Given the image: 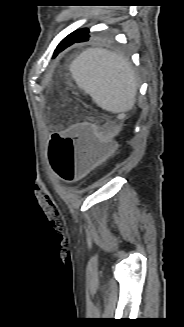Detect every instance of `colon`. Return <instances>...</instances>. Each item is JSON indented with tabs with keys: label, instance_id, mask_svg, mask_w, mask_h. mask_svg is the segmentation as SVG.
I'll return each mask as SVG.
<instances>
[{
	"label": "colon",
	"instance_id": "colon-1",
	"mask_svg": "<svg viewBox=\"0 0 184 327\" xmlns=\"http://www.w3.org/2000/svg\"><path fill=\"white\" fill-rule=\"evenodd\" d=\"M107 128L90 123L73 125L49 142L48 157L54 171L66 182H76L113 157L116 145L105 135Z\"/></svg>",
	"mask_w": 184,
	"mask_h": 327
}]
</instances>
